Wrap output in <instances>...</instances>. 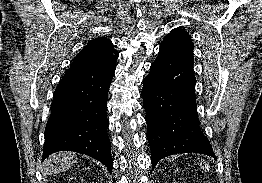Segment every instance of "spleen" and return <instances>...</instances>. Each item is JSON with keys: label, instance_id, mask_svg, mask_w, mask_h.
I'll return each instance as SVG.
<instances>
[{"label": "spleen", "instance_id": "1", "mask_svg": "<svg viewBox=\"0 0 262 183\" xmlns=\"http://www.w3.org/2000/svg\"><path fill=\"white\" fill-rule=\"evenodd\" d=\"M203 165H205V163H203V164L201 163V166H203Z\"/></svg>", "mask_w": 262, "mask_h": 183}]
</instances>
